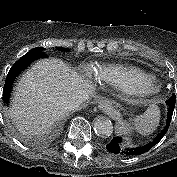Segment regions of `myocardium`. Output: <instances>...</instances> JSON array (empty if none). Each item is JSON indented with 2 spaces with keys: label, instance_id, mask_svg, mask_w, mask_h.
I'll return each mask as SVG.
<instances>
[{
  "label": "myocardium",
  "instance_id": "obj_1",
  "mask_svg": "<svg viewBox=\"0 0 177 177\" xmlns=\"http://www.w3.org/2000/svg\"><path fill=\"white\" fill-rule=\"evenodd\" d=\"M122 87L128 96L140 99L157 94L160 83L152 76L128 75Z\"/></svg>",
  "mask_w": 177,
  "mask_h": 177
}]
</instances>
